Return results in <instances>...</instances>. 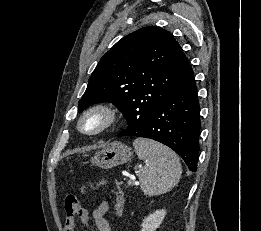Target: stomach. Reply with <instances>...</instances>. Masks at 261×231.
Segmentation results:
<instances>
[{"instance_id": "0dacf381", "label": "stomach", "mask_w": 261, "mask_h": 231, "mask_svg": "<svg viewBox=\"0 0 261 231\" xmlns=\"http://www.w3.org/2000/svg\"><path fill=\"white\" fill-rule=\"evenodd\" d=\"M131 156L132 152L130 147L115 141L108 143L102 150L97 151L90 161L92 165L102 169H110L128 162Z\"/></svg>"}]
</instances>
